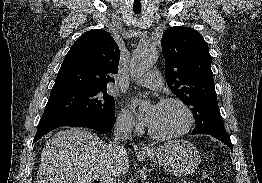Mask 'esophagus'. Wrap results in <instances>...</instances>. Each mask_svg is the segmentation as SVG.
Here are the masks:
<instances>
[{
	"mask_svg": "<svg viewBox=\"0 0 262 183\" xmlns=\"http://www.w3.org/2000/svg\"><path fill=\"white\" fill-rule=\"evenodd\" d=\"M149 149V147L147 146V145H145V144H142L141 146H140V150L141 151H146V150H148Z\"/></svg>",
	"mask_w": 262,
	"mask_h": 183,
	"instance_id": "1",
	"label": "esophagus"
}]
</instances>
